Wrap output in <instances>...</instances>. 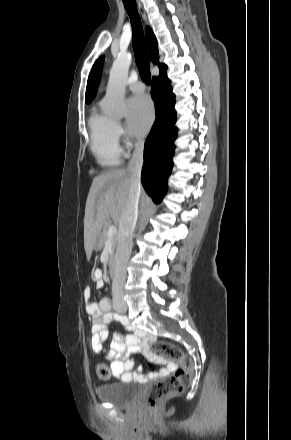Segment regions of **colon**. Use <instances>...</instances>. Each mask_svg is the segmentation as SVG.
<instances>
[{
	"mask_svg": "<svg viewBox=\"0 0 291 440\" xmlns=\"http://www.w3.org/2000/svg\"><path fill=\"white\" fill-rule=\"evenodd\" d=\"M149 355L160 359H172L179 364V369L163 380L155 382L144 399L148 408H157L160 403L187 388L193 379V362L191 358L176 345L166 341H155L149 347ZM109 365L100 364L96 368V377L100 381L111 378Z\"/></svg>",
	"mask_w": 291,
	"mask_h": 440,
	"instance_id": "obj_1",
	"label": "colon"
}]
</instances>
